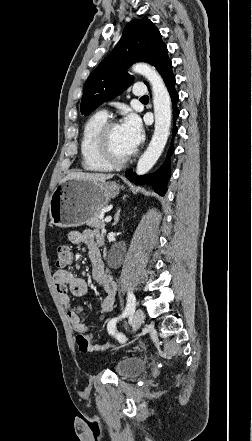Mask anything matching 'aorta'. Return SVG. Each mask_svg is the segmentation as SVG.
<instances>
[{
    "label": "aorta",
    "instance_id": "obj_1",
    "mask_svg": "<svg viewBox=\"0 0 252 441\" xmlns=\"http://www.w3.org/2000/svg\"><path fill=\"white\" fill-rule=\"evenodd\" d=\"M132 70L146 77L153 92L155 130L149 146L136 167V173L143 175L154 166L167 143L172 115L171 99L162 77L155 68L145 63H136L132 66Z\"/></svg>",
    "mask_w": 252,
    "mask_h": 441
}]
</instances>
